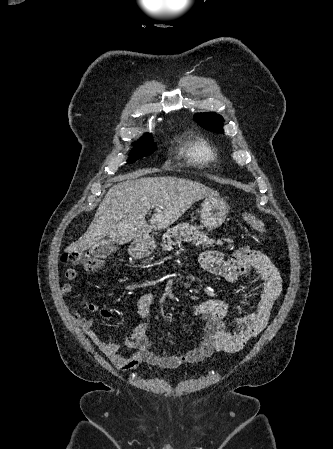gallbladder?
<instances>
[{
	"mask_svg": "<svg viewBox=\"0 0 333 449\" xmlns=\"http://www.w3.org/2000/svg\"><path fill=\"white\" fill-rule=\"evenodd\" d=\"M116 250L117 246L115 243L109 240H103L100 243H98L94 248L91 249V253L95 257L106 258Z\"/></svg>",
	"mask_w": 333,
	"mask_h": 449,
	"instance_id": "obj_1",
	"label": "gallbladder"
}]
</instances>
